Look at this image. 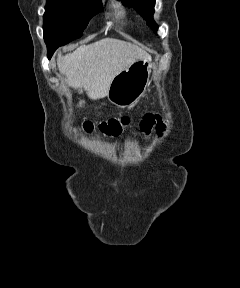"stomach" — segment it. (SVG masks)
<instances>
[{
  "label": "stomach",
  "mask_w": 240,
  "mask_h": 288,
  "mask_svg": "<svg viewBox=\"0 0 240 288\" xmlns=\"http://www.w3.org/2000/svg\"><path fill=\"white\" fill-rule=\"evenodd\" d=\"M151 73V63L138 59L130 67L117 74L111 82L108 99L117 107L134 105L144 95Z\"/></svg>",
  "instance_id": "1"
}]
</instances>
